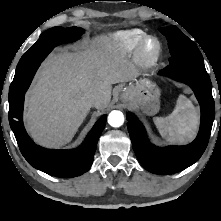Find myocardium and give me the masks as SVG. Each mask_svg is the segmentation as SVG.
Segmentation results:
<instances>
[{
  "instance_id": "1",
  "label": "myocardium",
  "mask_w": 221,
  "mask_h": 221,
  "mask_svg": "<svg viewBox=\"0 0 221 221\" xmlns=\"http://www.w3.org/2000/svg\"><path fill=\"white\" fill-rule=\"evenodd\" d=\"M161 51L162 46L159 39L146 35L138 45L137 57L143 67L150 68L159 60Z\"/></svg>"
}]
</instances>
